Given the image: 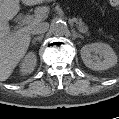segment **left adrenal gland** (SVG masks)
Listing matches in <instances>:
<instances>
[{"label": "left adrenal gland", "instance_id": "a2214340", "mask_svg": "<svg viewBox=\"0 0 119 119\" xmlns=\"http://www.w3.org/2000/svg\"><path fill=\"white\" fill-rule=\"evenodd\" d=\"M73 38H74V39H75V38H81V39H83V36L80 35V34H78V33H76L75 31H73Z\"/></svg>", "mask_w": 119, "mask_h": 119}]
</instances>
